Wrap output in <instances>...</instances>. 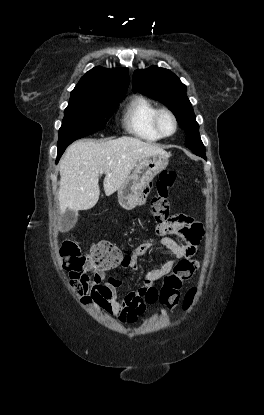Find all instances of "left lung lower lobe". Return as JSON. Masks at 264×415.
Returning a JSON list of instances; mask_svg holds the SVG:
<instances>
[{"mask_svg": "<svg viewBox=\"0 0 264 415\" xmlns=\"http://www.w3.org/2000/svg\"><path fill=\"white\" fill-rule=\"evenodd\" d=\"M193 153L200 156V157H202V158H204V159H206L205 149H203V150H193Z\"/></svg>", "mask_w": 264, "mask_h": 415, "instance_id": "1", "label": "left lung lower lobe"}]
</instances>
